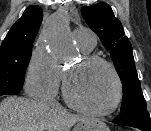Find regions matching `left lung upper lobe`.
I'll return each instance as SVG.
<instances>
[{
  "mask_svg": "<svg viewBox=\"0 0 151 131\" xmlns=\"http://www.w3.org/2000/svg\"><path fill=\"white\" fill-rule=\"evenodd\" d=\"M81 13L88 26L110 50L111 59L123 85L121 112L146 108L140 81L135 68L132 46L125 36L121 22L106 3L83 6Z\"/></svg>",
  "mask_w": 151,
  "mask_h": 131,
  "instance_id": "1",
  "label": "left lung upper lobe"
}]
</instances>
